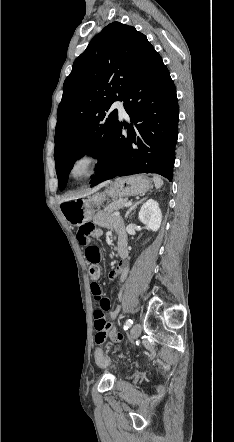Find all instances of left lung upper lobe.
Returning <instances> with one entry per match:
<instances>
[{"label":"left lung upper lobe","instance_id":"5c2ea615","mask_svg":"<svg viewBox=\"0 0 234 442\" xmlns=\"http://www.w3.org/2000/svg\"><path fill=\"white\" fill-rule=\"evenodd\" d=\"M155 52L134 27L113 22L75 60L63 85L55 130V165L63 190L74 162L85 154L105 161L119 123L118 111L106 113L122 100Z\"/></svg>","mask_w":234,"mask_h":442}]
</instances>
